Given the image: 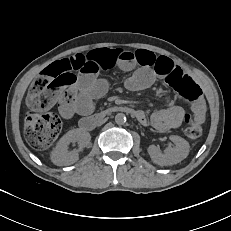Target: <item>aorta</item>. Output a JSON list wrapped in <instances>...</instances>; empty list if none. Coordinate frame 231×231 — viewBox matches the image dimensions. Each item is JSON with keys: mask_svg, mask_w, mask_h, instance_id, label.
Returning <instances> with one entry per match:
<instances>
[{"mask_svg": "<svg viewBox=\"0 0 231 231\" xmlns=\"http://www.w3.org/2000/svg\"><path fill=\"white\" fill-rule=\"evenodd\" d=\"M115 122L118 125H123L126 122V116H125V114H123V113L116 114V116H115Z\"/></svg>", "mask_w": 231, "mask_h": 231, "instance_id": "obj_1", "label": "aorta"}]
</instances>
